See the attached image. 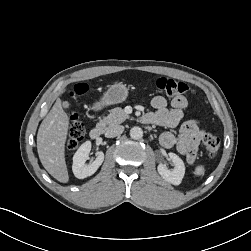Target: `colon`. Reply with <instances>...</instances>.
Returning <instances> with one entry per match:
<instances>
[{
	"label": "colon",
	"mask_w": 251,
	"mask_h": 251,
	"mask_svg": "<svg viewBox=\"0 0 251 251\" xmlns=\"http://www.w3.org/2000/svg\"><path fill=\"white\" fill-rule=\"evenodd\" d=\"M155 87L157 90L165 93L166 95L175 97L192 92L190 86L185 82L167 77L157 78L155 80ZM86 90L87 88L85 85H77L74 87L72 95H81L86 92ZM84 135L85 128L83 124L77 119V117H73L68 131V138L66 143L67 149L74 150L75 148H77L79 143L83 140ZM202 146L207 156L212 158L218 152L220 140L213 134L205 133L202 136Z\"/></svg>",
	"instance_id": "colon-1"
}]
</instances>
